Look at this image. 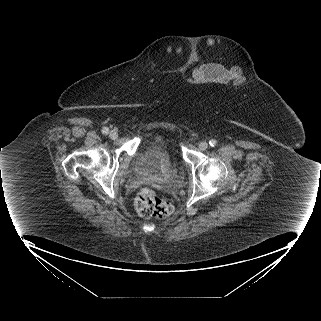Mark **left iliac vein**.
Returning <instances> with one entry per match:
<instances>
[{
	"label": "left iliac vein",
	"mask_w": 321,
	"mask_h": 321,
	"mask_svg": "<svg viewBox=\"0 0 321 321\" xmlns=\"http://www.w3.org/2000/svg\"><path fill=\"white\" fill-rule=\"evenodd\" d=\"M198 146H199L200 150H206L208 148V143L205 142V141H202V142L199 143Z\"/></svg>",
	"instance_id": "obj_1"
}]
</instances>
